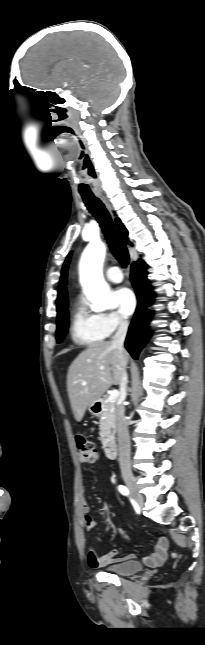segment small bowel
Listing matches in <instances>:
<instances>
[{"instance_id": "1", "label": "small bowel", "mask_w": 205, "mask_h": 645, "mask_svg": "<svg viewBox=\"0 0 205 645\" xmlns=\"http://www.w3.org/2000/svg\"><path fill=\"white\" fill-rule=\"evenodd\" d=\"M81 463H85L86 460L83 457L79 458ZM83 511L87 512L89 510V505L87 501H83L82 505ZM95 522L90 518L86 517V527L87 529H92L95 527ZM118 534L125 540H129L128 536L126 533L118 529ZM168 539L164 536H159L156 541V545L154 548V551L147 556H144L142 558V561L144 564L147 566L151 567H157L162 565L168 557ZM135 558L134 554H129L126 556H119V551L118 549H112L109 551L106 555L98 557L93 549H90L87 554V562L90 567L92 568H99L102 566H106L112 563L124 561V560H132Z\"/></svg>"}]
</instances>
